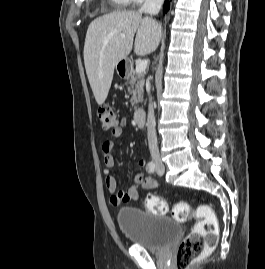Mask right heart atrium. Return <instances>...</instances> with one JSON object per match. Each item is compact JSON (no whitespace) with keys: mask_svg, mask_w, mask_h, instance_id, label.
<instances>
[{"mask_svg":"<svg viewBox=\"0 0 265 269\" xmlns=\"http://www.w3.org/2000/svg\"><path fill=\"white\" fill-rule=\"evenodd\" d=\"M146 1H150V0H128V2L133 5H140Z\"/></svg>","mask_w":265,"mask_h":269,"instance_id":"d8ad5b80","label":"right heart atrium"}]
</instances>
